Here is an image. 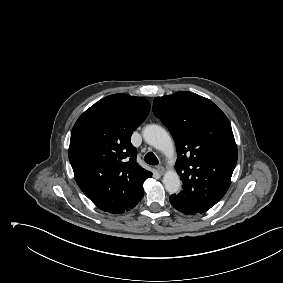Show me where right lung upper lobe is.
Masks as SVG:
<instances>
[{
	"mask_svg": "<svg viewBox=\"0 0 283 283\" xmlns=\"http://www.w3.org/2000/svg\"><path fill=\"white\" fill-rule=\"evenodd\" d=\"M149 111L143 98L114 94L87 109L72 129L68 155L75 180L102 211L123 213L143 198L152 173L136 162L130 139Z\"/></svg>",
	"mask_w": 283,
	"mask_h": 283,
	"instance_id": "obj_1",
	"label": "right lung upper lobe"
}]
</instances>
